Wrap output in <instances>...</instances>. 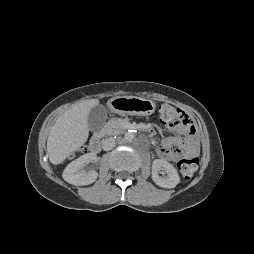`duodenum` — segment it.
Here are the masks:
<instances>
[{"instance_id": "obj_1", "label": "duodenum", "mask_w": 254, "mask_h": 254, "mask_svg": "<svg viewBox=\"0 0 254 254\" xmlns=\"http://www.w3.org/2000/svg\"><path fill=\"white\" fill-rule=\"evenodd\" d=\"M130 129H138L140 131H143V132H146V133H149L151 134L152 133V130L146 126H140V127H129ZM89 148H90V151L92 153H97L100 151V148H101V140H100V136L99 134H96L95 136H93V138L91 139L90 141V144H89Z\"/></svg>"}]
</instances>
